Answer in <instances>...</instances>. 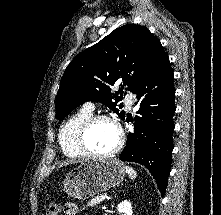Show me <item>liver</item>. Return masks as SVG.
Instances as JSON below:
<instances>
[{
  "instance_id": "6515ba94",
  "label": "liver",
  "mask_w": 221,
  "mask_h": 215,
  "mask_svg": "<svg viewBox=\"0 0 221 215\" xmlns=\"http://www.w3.org/2000/svg\"><path fill=\"white\" fill-rule=\"evenodd\" d=\"M71 162H64V163H62L61 165H64V166H66V165H68V164H70Z\"/></svg>"
}]
</instances>
